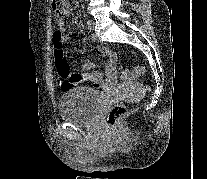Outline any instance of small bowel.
Listing matches in <instances>:
<instances>
[{
  "label": "small bowel",
  "mask_w": 207,
  "mask_h": 179,
  "mask_svg": "<svg viewBox=\"0 0 207 179\" xmlns=\"http://www.w3.org/2000/svg\"><path fill=\"white\" fill-rule=\"evenodd\" d=\"M70 13V6L68 5V10L66 15ZM59 29L62 33L65 32L64 18H59L58 21ZM65 40L67 37L64 38ZM95 50L106 57V69L105 73L100 71H89L90 68L97 65L95 62H85L83 66L87 69L86 71L80 73H73L79 77V82L75 85L88 83L89 86L95 89H108L117 83L118 71H117V53L110 48L103 45H96ZM74 63H77L75 61Z\"/></svg>",
  "instance_id": "obj_1"
}]
</instances>
